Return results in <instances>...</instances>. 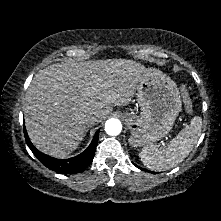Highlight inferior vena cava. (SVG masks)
<instances>
[{"mask_svg": "<svg viewBox=\"0 0 221 221\" xmlns=\"http://www.w3.org/2000/svg\"><path fill=\"white\" fill-rule=\"evenodd\" d=\"M97 123V117L94 115H88L85 118V124L87 127H92Z\"/></svg>", "mask_w": 221, "mask_h": 221, "instance_id": "inferior-vena-cava-1", "label": "inferior vena cava"}]
</instances>
